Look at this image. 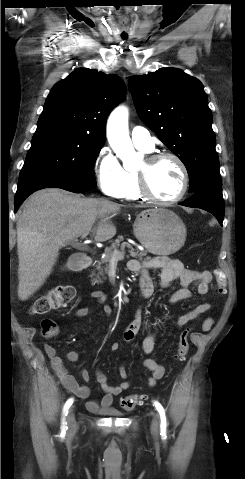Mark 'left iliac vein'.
Listing matches in <instances>:
<instances>
[{"label":"left iliac vein","mask_w":245,"mask_h":479,"mask_svg":"<svg viewBox=\"0 0 245 479\" xmlns=\"http://www.w3.org/2000/svg\"><path fill=\"white\" fill-rule=\"evenodd\" d=\"M151 432L154 436H158L159 432V415L158 413L153 414V419L151 422Z\"/></svg>","instance_id":"4c4485c4"}]
</instances>
